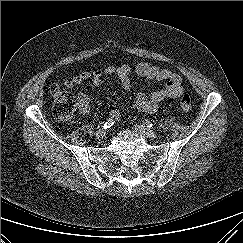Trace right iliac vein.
Wrapping results in <instances>:
<instances>
[{
  "label": "right iliac vein",
  "mask_w": 243,
  "mask_h": 243,
  "mask_svg": "<svg viewBox=\"0 0 243 243\" xmlns=\"http://www.w3.org/2000/svg\"><path fill=\"white\" fill-rule=\"evenodd\" d=\"M105 134H106V130L101 129V130H99V131L96 133V137H97L98 139H100V138H103V137L105 136Z\"/></svg>",
  "instance_id": "1"
}]
</instances>
